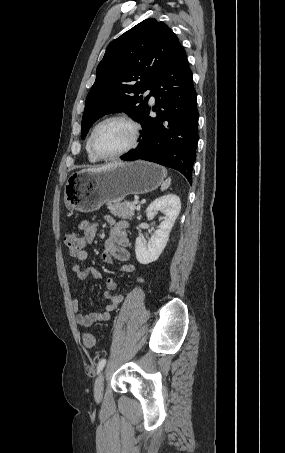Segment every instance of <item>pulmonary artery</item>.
I'll return each mask as SVG.
<instances>
[{
	"instance_id": "pulmonary-artery-1",
	"label": "pulmonary artery",
	"mask_w": 285,
	"mask_h": 453,
	"mask_svg": "<svg viewBox=\"0 0 285 453\" xmlns=\"http://www.w3.org/2000/svg\"><path fill=\"white\" fill-rule=\"evenodd\" d=\"M147 93H151V90H148ZM155 99V96L152 94L151 95V100H154Z\"/></svg>"
}]
</instances>
